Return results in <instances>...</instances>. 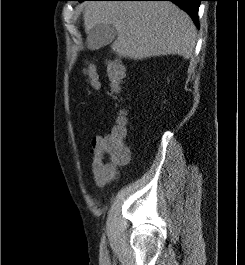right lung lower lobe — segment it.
Returning <instances> with one entry per match:
<instances>
[{"label":"right lung lower lobe","mask_w":245,"mask_h":265,"mask_svg":"<svg viewBox=\"0 0 245 265\" xmlns=\"http://www.w3.org/2000/svg\"><path fill=\"white\" fill-rule=\"evenodd\" d=\"M124 1H171L184 9L199 27L198 8L202 0H124Z\"/></svg>","instance_id":"right-lung-lower-lobe-1"}]
</instances>
